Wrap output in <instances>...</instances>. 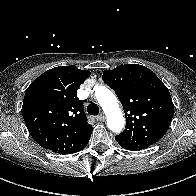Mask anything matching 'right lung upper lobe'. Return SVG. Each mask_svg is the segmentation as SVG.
Returning <instances> with one entry per match:
<instances>
[{
    "instance_id": "right-lung-upper-lobe-1",
    "label": "right lung upper lobe",
    "mask_w": 196,
    "mask_h": 196,
    "mask_svg": "<svg viewBox=\"0 0 196 196\" xmlns=\"http://www.w3.org/2000/svg\"><path fill=\"white\" fill-rule=\"evenodd\" d=\"M90 74L73 65L60 66L30 84L22 113L30 135L41 147L72 154L87 145L93 128L87 123L77 90Z\"/></svg>"
}]
</instances>
